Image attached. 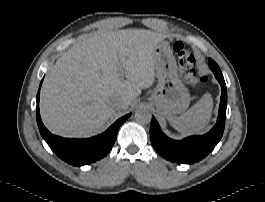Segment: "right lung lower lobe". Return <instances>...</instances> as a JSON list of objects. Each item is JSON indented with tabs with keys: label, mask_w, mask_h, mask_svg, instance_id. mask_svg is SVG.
<instances>
[{
	"label": "right lung lower lobe",
	"mask_w": 265,
	"mask_h": 202,
	"mask_svg": "<svg viewBox=\"0 0 265 202\" xmlns=\"http://www.w3.org/2000/svg\"><path fill=\"white\" fill-rule=\"evenodd\" d=\"M39 95L40 91H38L37 93L36 108V117L39 131L43 139L57 154V156H59L65 162L74 166L89 164L107 155L114 145L119 127L125 120L130 117V114L123 116L122 118L118 119L112 126H110L104 133L98 136L88 139H66L51 134L45 128L39 113Z\"/></svg>",
	"instance_id": "obj_1"
}]
</instances>
